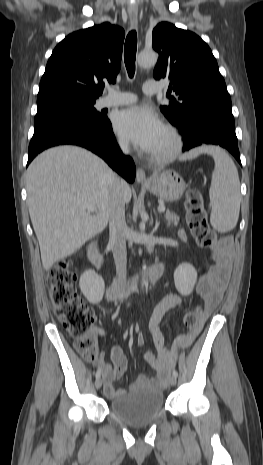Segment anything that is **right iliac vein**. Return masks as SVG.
<instances>
[{"label":"right iliac vein","instance_id":"63e3f726","mask_svg":"<svg viewBox=\"0 0 263 465\" xmlns=\"http://www.w3.org/2000/svg\"><path fill=\"white\" fill-rule=\"evenodd\" d=\"M102 383H103L102 379H101L100 377L97 378V379H96V382H95V387H96V389H100L101 386H102Z\"/></svg>","mask_w":263,"mask_h":465}]
</instances>
